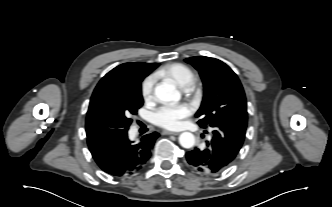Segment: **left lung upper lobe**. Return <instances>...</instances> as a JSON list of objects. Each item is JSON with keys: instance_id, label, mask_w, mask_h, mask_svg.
<instances>
[{"instance_id": "1", "label": "left lung upper lobe", "mask_w": 332, "mask_h": 207, "mask_svg": "<svg viewBox=\"0 0 332 207\" xmlns=\"http://www.w3.org/2000/svg\"><path fill=\"white\" fill-rule=\"evenodd\" d=\"M202 78L204 97L196 117L202 128L214 126H247V104L237 75L222 61L195 56L185 59Z\"/></svg>"}]
</instances>
